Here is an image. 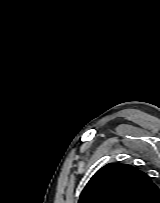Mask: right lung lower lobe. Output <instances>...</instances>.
Masks as SVG:
<instances>
[{
  "label": "right lung lower lobe",
  "mask_w": 160,
  "mask_h": 203,
  "mask_svg": "<svg viewBox=\"0 0 160 203\" xmlns=\"http://www.w3.org/2000/svg\"><path fill=\"white\" fill-rule=\"evenodd\" d=\"M154 203H160V193H159L158 197L156 198V200L154 201Z\"/></svg>",
  "instance_id": "1"
}]
</instances>
